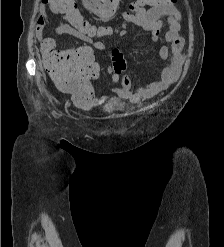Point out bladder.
I'll use <instances>...</instances> for the list:
<instances>
[{
    "instance_id": "bladder-1",
    "label": "bladder",
    "mask_w": 224,
    "mask_h": 247,
    "mask_svg": "<svg viewBox=\"0 0 224 247\" xmlns=\"http://www.w3.org/2000/svg\"><path fill=\"white\" fill-rule=\"evenodd\" d=\"M117 110V103L115 101H109L102 107V112L105 114H111Z\"/></svg>"
}]
</instances>
